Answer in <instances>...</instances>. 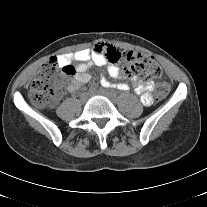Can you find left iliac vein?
Returning <instances> with one entry per match:
<instances>
[{
    "mask_svg": "<svg viewBox=\"0 0 207 207\" xmlns=\"http://www.w3.org/2000/svg\"><path fill=\"white\" fill-rule=\"evenodd\" d=\"M91 94H101L113 100L117 95V91L114 89L106 90V89L100 88L98 91L96 90H92V92L90 91L88 95H91Z\"/></svg>",
    "mask_w": 207,
    "mask_h": 207,
    "instance_id": "left-iliac-vein-1",
    "label": "left iliac vein"
}]
</instances>
